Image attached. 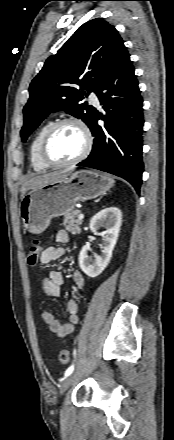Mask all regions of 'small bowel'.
<instances>
[{
  "instance_id": "small-bowel-1",
  "label": "small bowel",
  "mask_w": 174,
  "mask_h": 440,
  "mask_svg": "<svg viewBox=\"0 0 174 440\" xmlns=\"http://www.w3.org/2000/svg\"><path fill=\"white\" fill-rule=\"evenodd\" d=\"M70 235L65 230H60L56 234V240L60 244H66L69 242ZM65 248L63 246H49L46 247L40 256V262L48 264L54 262L65 255ZM72 280L75 287L80 290L84 286V277L80 271H74L72 273ZM64 284L63 274L58 270L50 271L41 280V289L45 296L57 298L61 295L62 287ZM67 310L69 313V320L67 322L60 321L54 317V315L48 311L42 313V321L48 326V328L55 333L58 337H64L71 334L76 325L80 322V305L76 299H70L67 303Z\"/></svg>"
}]
</instances>
